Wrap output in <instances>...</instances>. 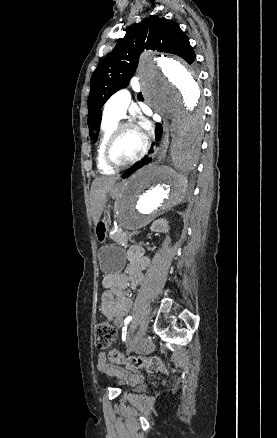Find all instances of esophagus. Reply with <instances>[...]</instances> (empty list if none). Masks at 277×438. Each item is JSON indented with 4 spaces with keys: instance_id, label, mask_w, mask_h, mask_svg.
Masks as SVG:
<instances>
[{
    "instance_id": "1",
    "label": "esophagus",
    "mask_w": 277,
    "mask_h": 438,
    "mask_svg": "<svg viewBox=\"0 0 277 438\" xmlns=\"http://www.w3.org/2000/svg\"><path fill=\"white\" fill-rule=\"evenodd\" d=\"M162 127H163V138L160 144V148L158 150V159L164 158L168 145H169V123L166 119H162Z\"/></svg>"
}]
</instances>
